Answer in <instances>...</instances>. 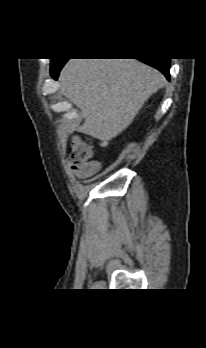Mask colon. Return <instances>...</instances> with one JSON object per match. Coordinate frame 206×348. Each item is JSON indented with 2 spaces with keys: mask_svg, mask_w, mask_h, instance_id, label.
Segmentation results:
<instances>
[{
  "mask_svg": "<svg viewBox=\"0 0 206 348\" xmlns=\"http://www.w3.org/2000/svg\"><path fill=\"white\" fill-rule=\"evenodd\" d=\"M92 157V148L79 138H75L70 149L69 162L72 166H81Z\"/></svg>",
  "mask_w": 206,
  "mask_h": 348,
  "instance_id": "colon-1",
  "label": "colon"
}]
</instances>
